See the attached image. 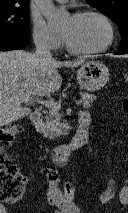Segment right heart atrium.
Wrapping results in <instances>:
<instances>
[{
	"label": "right heart atrium",
	"instance_id": "right-heart-atrium-1",
	"mask_svg": "<svg viewBox=\"0 0 128 213\" xmlns=\"http://www.w3.org/2000/svg\"><path fill=\"white\" fill-rule=\"evenodd\" d=\"M32 36L37 46L47 50H57L61 47L62 36L51 30L45 21L36 14L31 16Z\"/></svg>",
	"mask_w": 128,
	"mask_h": 213
}]
</instances>
